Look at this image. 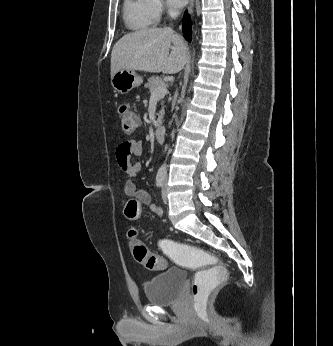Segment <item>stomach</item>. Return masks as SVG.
<instances>
[{"instance_id": "stomach-1", "label": "stomach", "mask_w": 333, "mask_h": 346, "mask_svg": "<svg viewBox=\"0 0 333 346\" xmlns=\"http://www.w3.org/2000/svg\"><path fill=\"white\" fill-rule=\"evenodd\" d=\"M142 83V77L137 75L135 71L127 69H121L111 77L112 87L120 94H126Z\"/></svg>"}]
</instances>
